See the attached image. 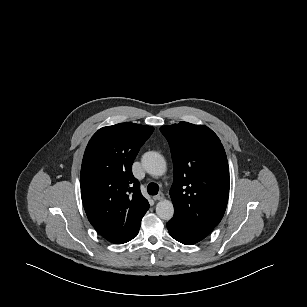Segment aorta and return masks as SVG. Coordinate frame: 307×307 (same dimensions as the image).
Listing matches in <instances>:
<instances>
[{
	"mask_svg": "<svg viewBox=\"0 0 307 307\" xmlns=\"http://www.w3.org/2000/svg\"><path fill=\"white\" fill-rule=\"evenodd\" d=\"M145 171L152 176H162L166 172L164 157L154 151L146 152L141 159ZM156 214L163 220H170L174 215V207L170 200H161L156 205Z\"/></svg>",
	"mask_w": 307,
	"mask_h": 307,
	"instance_id": "aorta-1",
	"label": "aorta"
}]
</instances>
